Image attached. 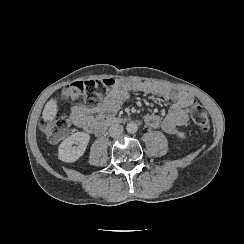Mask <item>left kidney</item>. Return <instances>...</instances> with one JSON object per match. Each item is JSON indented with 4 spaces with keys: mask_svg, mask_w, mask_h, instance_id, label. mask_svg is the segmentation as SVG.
Here are the masks:
<instances>
[{
    "mask_svg": "<svg viewBox=\"0 0 244 244\" xmlns=\"http://www.w3.org/2000/svg\"><path fill=\"white\" fill-rule=\"evenodd\" d=\"M177 136H178L179 138H181V139H185V138H186L184 132H178V133H177Z\"/></svg>",
    "mask_w": 244,
    "mask_h": 244,
    "instance_id": "5707ae66",
    "label": "left kidney"
}]
</instances>
